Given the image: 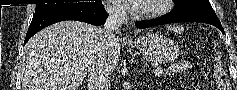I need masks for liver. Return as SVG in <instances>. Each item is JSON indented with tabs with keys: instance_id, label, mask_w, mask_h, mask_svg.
<instances>
[{
	"instance_id": "liver-1",
	"label": "liver",
	"mask_w": 237,
	"mask_h": 90,
	"mask_svg": "<svg viewBox=\"0 0 237 90\" xmlns=\"http://www.w3.org/2000/svg\"><path fill=\"white\" fill-rule=\"evenodd\" d=\"M99 42L100 28L84 22H59L44 28L25 44L22 90H78ZM119 54L118 46H112L110 66H117Z\"/></svg>"
}]
</instances>
